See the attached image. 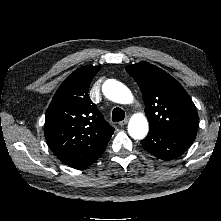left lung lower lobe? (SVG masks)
<instances>
[{"mask_svg":"<svg viewBox=\"0 0 221 221\" xmlns=\"http://www.w3.org/2000/svg\"><path fill=\"white\" fill-rule=\"evenodd\" d=\"M194 139L195 137L191 135L168 134L150 130L141 144L152 155L163 160H171L186 151Z\"/></svg>","mask_w":221,"mask_h":221,"instance_id":"obj_1","label":"left lung lower lobe"}]
</instances>
